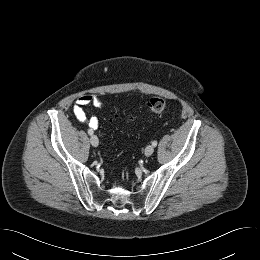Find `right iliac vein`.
Instances as JSON below:
<instances>
[{
  "mask_svg": "<svg viewBox=\"0 0 260 260\" xmlns=\"http://www.w3.org/2000/svg\"><path fill=\"white\" fill-rule=\"evenodd\" d=\"M90 142H91L92 146H94V147H97L99 144V140L96 135L91 136Z\"/></svg>",
  "mask_w": 260,
  "mask_h": 260,
  "instance_id": "obj_1",
  "label": "right iliac vein"
}]
</instances>
